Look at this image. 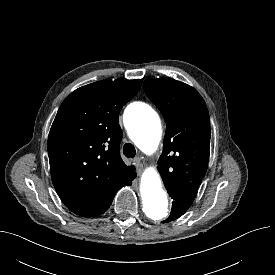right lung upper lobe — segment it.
Segmentation results:
<instances>
[{
	"label": "right lung upper lobe",
	"instance_id": "right-lung-upper-lobe-1",
	"mask_svg": "<svg viewBox=\"0 0 275 275\" xmlns=\"http://www.w3.org/2000/svg\"><path fill=\"white\" fill-rule=\"evenodd\" d=\"M141 83L98 81L76 89L61 104L47 149L54 187L75 214L101 215L116 192L135 176L134 167L120 157L118 116Z\"/></svg>",
	"mask_w": 275,
	"mask_h": 275
}]
</instances>
